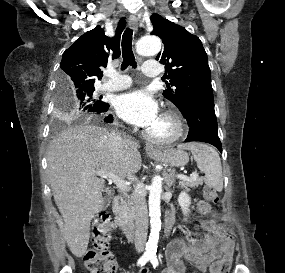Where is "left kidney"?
<instances>
[{
	"label": "left kidney",
	"mask_w": 285,
	"mask_h": 273,
	"mask_svg": "<svg viewBox=\"0 0 285 273\" xmlns=\"http://www.w3.org/2000/svg\"><path fill=\"white\" fill-rule=\"evenodd\" d=\"M178 203L182 208L183 214L187 215L189 212V205L191 203V199L188 194L182 192L178 197Z\"/></svg>",
	"instance_id": "obj_1"
}]
</instances>
